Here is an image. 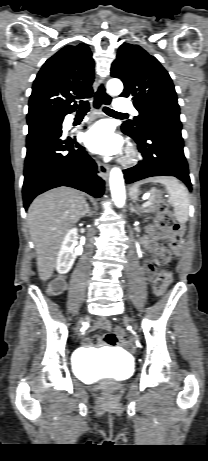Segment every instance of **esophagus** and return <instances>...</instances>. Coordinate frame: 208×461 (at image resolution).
Listing matches in <instances>:
<instances>
[{"label":"esophagus","mask_w":208,"mask_h":461,"mask_svg":"<svg viewBox=\"0 0 208 461\" xmlns=\"http://www.w3.org/2000/svg\"><path fill=\"white\" fill-rule=\"evenodd\" d=\"M101 83L103 84V88L105 90L104 81H101ZM105 93L109 96V94H108V92L106 90H105ZM110 101H111V98H110ZM104 105H105V103L100 102V101H96V98H95V100H94V109L96 111L100 112ZM98 170H99V176L100 177H102L103 179H106L108 177V174H109V166L108 165L99 163Z\"/></svg>","instance_id":"esophagus-1"}]
</instances>
